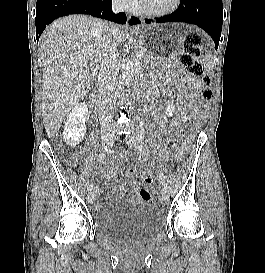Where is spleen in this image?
Here are the masks:
<instances>
[{"mask_svg": "<svg viewBox=\"0 0 265 273\" xmlns=\"http://www.w3.org/2000/svg\"><path fill=\"white\" fill-rule=\"evenodd\" d=\"M208 57H209V56H206V59H208ZM206 69H207V71H210L211 65L207 64V65H206Z\"/></svg>", "mask_w": 265, "mask_h": 273, "instance_id": "3e777b00", "label": "spleen"}]
</instances>
